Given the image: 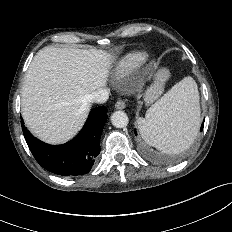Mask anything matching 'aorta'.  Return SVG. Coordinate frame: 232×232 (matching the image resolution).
Masks as SVG:
<instances>
[{
  "label": "aorta",
  "instance_id": "1",
  "mask_svg": "<svg viewBox=\"0 0 232 232\" xmlns=\"http://www.w3.org/2000/svg\"><path fill=\"white\" fill-rule=\"evenodd\" d=\"M111 122L113 126L117 128H124L128 125L129 119L125 112L123 111H115L111 115Z\"/></svg>",
  "mask_w": 232,
  "mask_h": 232
}]
</instances>
